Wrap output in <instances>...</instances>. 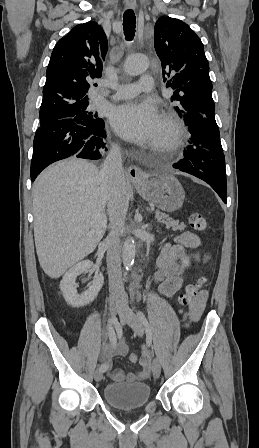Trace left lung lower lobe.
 Listing matches in <instances>:
<instances>
[{"label":"left lung lower lobe","mask_w":259,"mask_h":448,"mask_svg":"<svg viewBox=\"0 0 259 448\" xmlns=\"http://www.w3.org/2000/svg\"><path fill=\"white\" fill-rule=\"evenodd\" d=\"M183 118L191 133L190 145L173 167L204 180L227 203L225 157L215 117L188 112Z\"/></svg>","instance_id":"obj_1"}]
</instances>
